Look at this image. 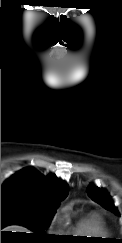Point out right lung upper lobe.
<instances>
[{
  "mask_svg": "<svg viewBox=\"0 0 122 243\" xmlns=\"http://www.w3.org/2000/svg\"><path fill=\"white\" fill-rule=\"evenodd\" d=\"M68 193V185L56 176L45 177L34 168L12 175L1 186V198H17L42 206H58Z\"/></svg>",
  "mask_w": 122,
  "mask_h": 243,
  "instance_id": "right-lung-upper-lobe-1",
  "label": "right lung upper lobe"
}]
</instances>
